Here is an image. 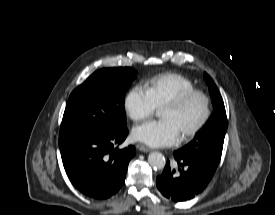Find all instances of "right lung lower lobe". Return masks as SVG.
Masks as SVG:
<instances>
[{"instance_id": "obj_1", "label": "right lung lower lobe", "mask_w": 275, "mask_h": 215, "mask_svg": "<svg viewBox=\"0 0 275 215\" xmlns=\"http://www.w3.org/2000/svg\"><path fill=\"white\" fill-rule=\"evenodd\" d=\"M128 129L108 133H64L59 147L65 171L71 183L84 195L107 199L125 182L128 163L135 147L118 149Z\"/></svg>"}]
</instances>
